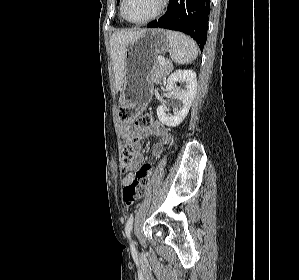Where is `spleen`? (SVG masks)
Wrapping results in <instances>:
<instances>
[{"label": "spleen", "mask_w": 299, "mask_h": 280, "mask_svg": "<svg viewBox=\"0 0 299 280\" xmlns=\"http://www.w3.org/2000/svg\"><path fill=\"white\" fill-rule=\"evenodd\" d=\"M166 35L171 48L170 56L174 62L187 65L196 59L197 46L190 37L170 30L166 31Z\"/></svg>", "instance_id": "obj_1"}]
</instances>
